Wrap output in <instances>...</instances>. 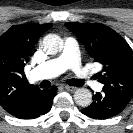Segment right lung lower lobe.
<instances>
[{
	"instance_id": "98d812e1",
	"label": "right lung lower lobe",
	"mask_w": 133,
	"mask_h": 133,
	"mask_svg": "<svg viewBox=\"0 0 133 133\" xmlns=\"http://www.w3.org/2000/svg\"><path fill=\"white\" fill-rule=\"evenodd\" d=\"M57 94V87L41 90L30 101L28 107L11 115L17 118L33 119L48 113L52 106V99Z\"/></svg>"
}]
</instances>
